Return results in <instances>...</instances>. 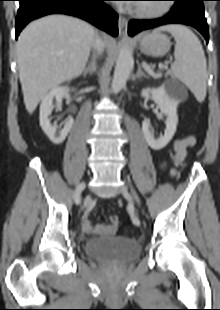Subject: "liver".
<instances>
[{"instance_id":"1","label":"liver","mask_w":220,"mask_h":310,"mask_svg":"<svg viewBox=\"0 0 220 310\" xmlns=\"http://www.w3.org/2000/svg\"><path fill=\"white\" fill-rule=\"evenodd\" d=\"M94 35L90 24L65 15L43 17L21 32L17 63L28 113L49 90L81 75Z\"/></svg>"}]
</instances>
